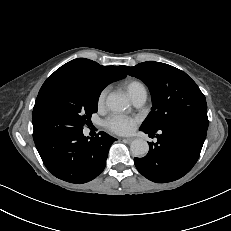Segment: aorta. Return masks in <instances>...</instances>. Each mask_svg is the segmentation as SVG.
Here are the masks:
<instances>
[{"instance_id":"obj_1","label":"aorta","mask_w":231,"mask_h":231,"mask_svg":"<svg viewBox=\"0 0 231 231\" xmlns=\"http://www.w3.org/2000/svg\"><path fill=\"white\" fill-rule=\"evenodd\" d=\"M106 105L112 112L120 113L129 107V102L122 95L111 93L106 99ZM130 150L133 156L142 158L147 155L149 151V145L147 141L143 139H135L131 142Z\"/></svg>"}]
</instances>
